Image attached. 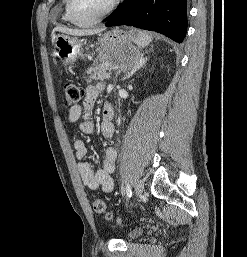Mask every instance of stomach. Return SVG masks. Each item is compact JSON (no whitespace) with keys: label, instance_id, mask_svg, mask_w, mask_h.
I'll return each instance as SVG.
<instances>
[{"label":"stomach","instance_id":"obj_1","mask_svg":"<svg viewBox=\"0 0 247 257\" xmlns=\"http://www.w3.org/2000/svg\"><path fill=\"white\" fill-rule=\"evenodd\" d=\"M138 34L137 30L128 33L120 28L102 34L99 40V59L111 65H117L121 69L130 70L140 58L139 49L133 45ZM53 45L55 54L65 64H70L79 57L83 44L76 37L58 34L53 39Z\"/></svg>","mask_w":247,"mask_h":257}]
</instances>
